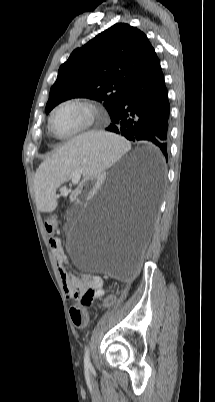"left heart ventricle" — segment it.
I'll use <instances>...</instances> for the list:
<instances>
[{"instance_id":"obj_1","label":"left heart ventricle","mask_w":215,"mask_h":402,"mask_svg":"<svg viewBox=\"0 0 215 402\" xmlns=\"http://www.w3.org/2000/svg\"><path fill=\"white\" fill-rule=\"evenodd\" d=\"M86 117L84 109L77 106H65L55 113L52 125L56 133L65 135L82 127Z\"/></svg>"}]
</instances>
